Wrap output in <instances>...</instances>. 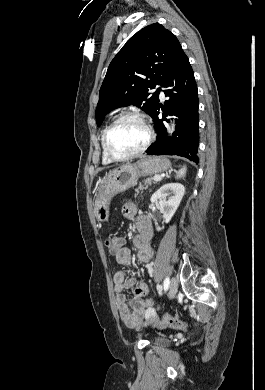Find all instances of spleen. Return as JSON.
I'll list each match as a JSON object with an SVG mask.
<instances>
[{
	"mask_svg": "<svg viewBox=\"0 0 265 390\" xmlns=\"http://www.w3.org/2000/svg\"><path fill=\"white\" fill-rule=\"evenodd\" d=\"M187 168L186 166H183L180 170L176 172V178H184L186 175Z\"/></svg>",
	"mask_w": 265,
	"mask_h": 390,
	"instance_id": "obj_1",
	"label": "spleen"
}]
</instances>
